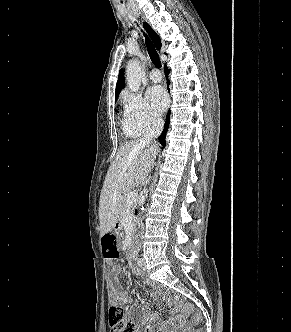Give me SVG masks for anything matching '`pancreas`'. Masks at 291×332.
I'll list each match as a JSON object with an SVG mask.
<instances>
[{"label":"pancreas","instance_id":"cf45deb5","mask_svg":"<svg viewBox=\"0 0 291 332\" xmlns=\"http://www.w3.org/2000/svg\"><path fill=\"white\" fill-rule=\"evenodd\" d=\"M137 204L136 203H132L131 205H128L126 203V196H124L123 200H122V206H121V214L122 216L126 215L127 213L130 215L131 217V221H133V211L136 208Z\"/></svg>","mask_w":291,"mask_h":332}]
</instances>
